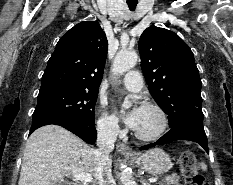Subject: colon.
Returning <instances> with one entry per match:
<instances>
[{"label": "colon", "instance_id": "1", "mask_svg": "<svg viewBox=\"0 0 233 185\" xmlns=\"http://www.w3.org/2000/svg\"><path fill=\"white\" fill-rule=\"evenodd\" d=\"M179 172L190 185H206L204 177L198 172V163L191 151H184L179 160Z\"/></svg>", "mask_w": 233, "mask_h": 185}]
</instances>
